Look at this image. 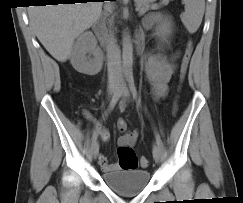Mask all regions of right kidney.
Returning a JSON list of instances; mask_svg holds the SVG:
<instances>
[{
	"mask_svg": "<svg viewBox=\"0 0 243 203\" xmlns=\"http://www.w3.org/2000/svg\"><path fill=\"white\" fill-rule=\"evenodd\" d=\"M96 45V39L90 31L82 33L77 38L70 55V61L75 70L87 75H95L100 72L103 65V54ZM87 54L89 55L87 56Z\"/></svg>",
	"mask_w": 243,
	"mask_h": 203,
	"instance_id": "obj_1",
	"label": "right kidney"
}]
</instances>
